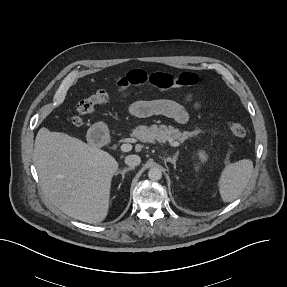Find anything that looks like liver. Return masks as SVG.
<instances>
[{
    "instance_id": "1",
    "label": "liver",
    "mask_w": 287,
    "mask_h": 287,
    "mask_svg": "<svg viewBox=\"0 0 287 287\" xmlns=\"http://www.w3.org/2000/svg\"><path fill=\"white\" fill-rule=\"evenodd\" d=\"M33 160L42 190L54 206L91 224L106 218L119 166L108 152L43 127L35 139Z\"/></svg>"
}]
</instances>
